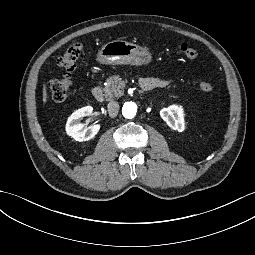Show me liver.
<instances>
[{
    "label": "liver",
    "instance_id": "1",
    "mask_svg": "<svg viewBox=\"0 0 255 255\" xmlns=\"http://www.w3.org/2000/svg\"><path fill=\"white\" fill-rule=\"evenodd\" d=\"M47 101V91H46V86H43V102L46 103Z\"/></svg>",
    "mask_w": 255,
    "mask_h": 255
}]
</instances>
